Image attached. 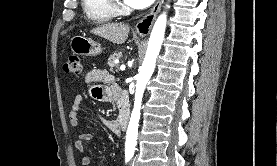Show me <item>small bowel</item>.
<instances>
[{
	"mask_svg": "<svg viewBox=\"0 0 277 166\" xmlns=\"http://www.w3.org/2000/svg\"><path fill=\"white\" fill-rule=\"evenodd\" d=\"M85 82L90 86L91 96L99 101L105 103L115 102L116 92L119 90L114 82L113 76L103 69H92L85 76ZM83 95L79 92L74 93L72 103L69 110V121L72 127L79 125V114ZM103 125L111 131L114 135L119 134L118 123L113 120L100 119ZM93 139V134L89 132L80 133L75 141L74 147L81 157V164L83 166H91L92 160L85 151V144Z\"/></svg>",
	"mask_w": 277,
	"mask_h": 166,
	"instance_id": "small-bowel-1",
	"label": "small bowel"
}]
</instances>
